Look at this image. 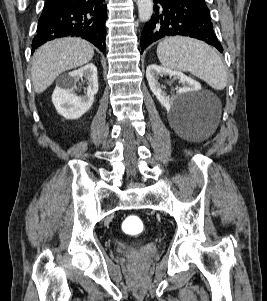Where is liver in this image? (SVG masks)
Here are the masks:
<instances>
[{
    "mask_svg": "<svg viewBox=\"0 0 267 301\" xmlns=\"http://www.w3.org/2000/svg\"><path fill=\"white\" fill-rule=\"evenodd\" d=\"M93 56L92 45L80 38L47 42L33 56L31 80L34 91L44 92L61 73L85 65Z\"/></svg>",
    "mask_w": 267,
    "mask_h": 301,
    "instance_id": "liver-1",
    "label": "liver"
}]
</instances>
